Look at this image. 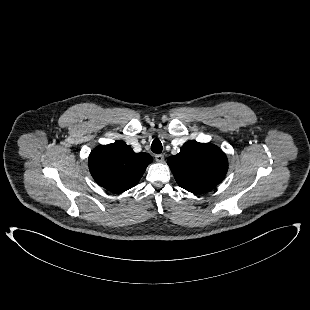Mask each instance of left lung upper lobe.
Returning <instances> with one entry per match:
<instances>
[{
  "label": "left lung upper lobe",
  "instance_id": "obj_1",
  "mask_svg": "<svg viewBox=\"0 0 310 310\" xmlns=\"http://www.w3.org/2000/svg\"><path fill=\"white\" fill-rule=\"evenodd\" d=\"M167 163L178 185L194 194L214 189L228 170L227 157L219 147L196 141L186 142Z\"/></svg>",
  "mask_w": 310,
  "mask_h": 310
}]
</instances>
